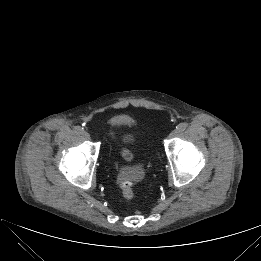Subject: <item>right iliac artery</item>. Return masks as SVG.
I'll use <instances>...</instances> for the list:
<instances>
[{
    "label": "right iliac artery",
    "mask_w": 261,
    "mask_h": 261,
    "mask_svg": "<svg viewBox=\"0 0 261 261\" xmlns=\"http://www.w3.org/2000/svg\"><path fill=\"white\" fill-rule=\"evenodd\" d=\"M75 132L81 134L83 132V128L81 126H76L75 127Z\"/></svg>",
    "instance_id": "82829eb1"
}]
</instances>
